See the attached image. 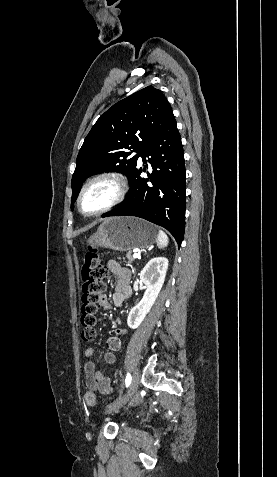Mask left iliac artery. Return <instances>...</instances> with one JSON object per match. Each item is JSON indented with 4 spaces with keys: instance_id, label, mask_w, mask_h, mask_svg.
Masks as SVG:
<instances>
[{
    "instance_id": "44dca946",
    "label": "left iliac artery",
    "mask_w": 277,
    "mask_h": 477,
    "mask_svg": "<svg viewBox=\"0 0 277 477\" xmlns=\"http://www.w3.org/2000/svg\"><path fill=\"white\" fill-rule=\"evenodd\" d=\"M125 383H126V387H128L131 384V375L129 373L126 376Z\"/></svg>"
}]
</instances>
